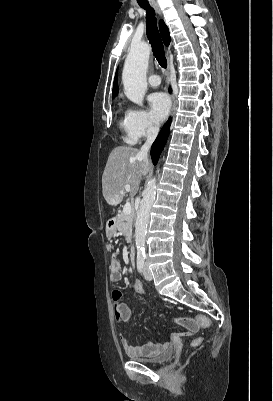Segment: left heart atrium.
Here are the masks:
<instances>
[{"label": "left heart atrium", "mask_w": 273, "mask_h": 401, "mask_svg": "<svg viewBox=\"0 0 273 401\" xmlns=\"http://www.w3.org/2000/svg\"><path fill=\"white\" fill-rule=\"evenodd\" d=\"M151 117L157 122H162L169 113L170 102L162 93L150 94L147 98Z\"/></svg>", "instance_id": "left-heart-atrium-1"}]
</instances>
